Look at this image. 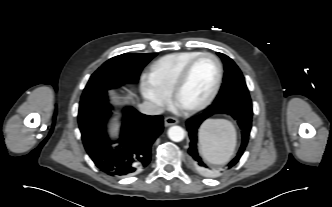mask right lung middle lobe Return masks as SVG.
Listing matches in <instances>:
<instances>
[{
    "label": "right lung middle lobe",
    "mask_w": 332,
    "mask_h": 207,
    "mask_svg": "<svg viewBox=\"0 0 332 207\" xmlns=\"http://www.w3.org/2000/svg\"><path fill=\"white\" fill-rule=\"evenodd\" d=\"M156 53H125L106 61L89 79L81 100L124 84H135L143 67Z\"/></svg>",
    "instance_id": "dd1d6c3e"
}]
</instances>
